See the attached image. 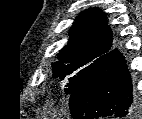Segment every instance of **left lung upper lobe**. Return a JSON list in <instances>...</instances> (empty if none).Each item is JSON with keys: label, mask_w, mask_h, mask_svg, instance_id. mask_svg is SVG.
Returning a JSON list of instances; mask_svg holds the SVG:
<instances>
[{"label": "left lung upper lobe", "mask_w": 142, "mask_h": 119, "mask_svg": "<svg viewBox=\"0 0 142 119\" xmlns=\"http://www.w3.org/2000/svg\"><path fill=\"white\" fill-rule=\"evenodd\" d=\"M68 44L52 64L53 77L67 82L65 91L71 94L83 77L112 49V33L106 17L98 8H89L75 20L69 31Z\"/></svg>", "instance_id": "1"}]
</instances>
